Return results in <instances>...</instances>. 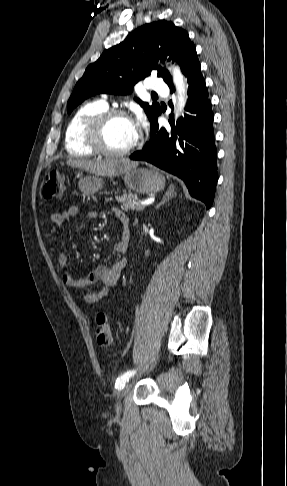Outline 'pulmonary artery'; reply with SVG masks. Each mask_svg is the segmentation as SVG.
<instances>
[{
  "instance_id": "1",
  "label": "pulmonary artery",
  "mask_w": 287,
  "mask_h": 486,
  "mask_svg": "<svg viewBox=\"0 0 287 486\" xmlns=\"http://www.w3.org/2000/svg\"><path fill=\"white\" fill-rule=\"evenodd\" d=\"M147 88L150 89L151 91H155V92H159V93H167L168 92L167 85L164 83L163 80H161L159 78L149 79ZM103 101L106 102L105 100H103Z\"/></svg>"
}]
</instances>
